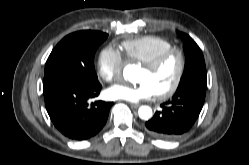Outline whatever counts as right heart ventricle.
I'll list each match as a JSON object with an SVG mask.
<instances>
[{
    "mask_svg": "<svg viewBox=\"0 0 249 165\" xmlns=\"http://www.w3.org/2000/svg\"><path fill=\"white\" fill-rule=\"evenodd\" d=\"M121 47L129 61L144 64L172 48L173 45L162 37L147 35L125 40L121 43Z\"/></svg>",
    "mask_w": 249,
    "mask_h": 165,
    "instance_id": "e07e8e85",
    "label": "right heart ventricle"
}]
</instances>
